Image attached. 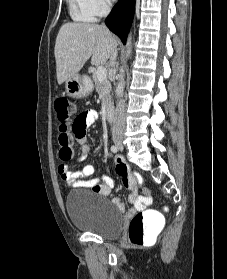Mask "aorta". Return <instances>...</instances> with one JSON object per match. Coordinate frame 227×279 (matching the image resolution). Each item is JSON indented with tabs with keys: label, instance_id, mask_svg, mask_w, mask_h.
Masks as SVG:
<instances>
[{
	"label": "aorta",
	"instance_id": "obj_1",
	"mask_svg": "<svg viewBox=\"0 0 227 279\" xmlns=\"http://www.w3.org/2000/svg\"><path fill=\"white\" fill-rule=\"evenodd\" d=\"M130 44H131V37L128 40V44L126 46V48H127L126 56L127 57H129V55H130ZM118 78H119V82L116 86L115 93H116L117 97H120V96H122L124 86H125V75H124V70L123 69H121L120 74L118 75Z\"/></svg>",
	"mask_w": 227,
	"mask_h": 279
}]
</instances>
